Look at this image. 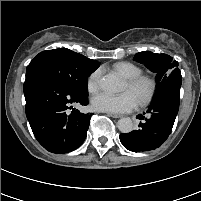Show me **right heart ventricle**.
<instances>
[{
  "label": "right heart ventricle",
  "mask_w": 201,
  "mask_h": 201,
  "mask_svg": "<svg viewBox=\"0 0 201 201\" xmlns=\"http://www.w3.org/2000/svg\"><path fill=\"white\" fill-rule=\"evenodd\" d=\"M113 69L126 79L136 77L142 73L141 68L131 62H118L113 65Z\"/></svg>",
  "instance_id": "1"
}]
</instances>
